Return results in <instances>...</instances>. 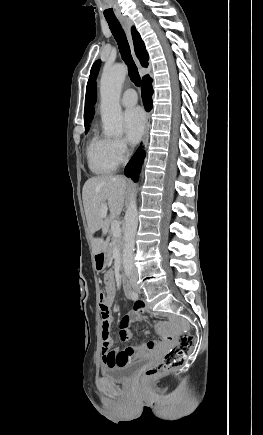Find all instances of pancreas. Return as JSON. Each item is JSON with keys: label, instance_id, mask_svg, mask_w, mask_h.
I'll return each instance as SVG.
<instances>
[{"label": "pancreas", "instance_id": "pancreas-1", "mask_svg": "<svg viewBox=\"0 0 263 435\" xmlns=\"http://www.w3.org/2000/svg\"><path fill=\"white\" fill-rule=\"evenodd\" d=\"M115 246H117V247L121 246V236L120 235L119 236H114V235L112 236L111 242H110L109 248H108L110 254L112 253V250Z\"/></svg>", "mask_w": 263, "mask_h": 435}]
</instances>
